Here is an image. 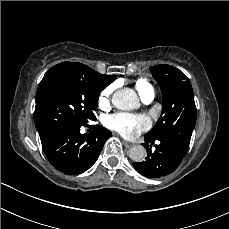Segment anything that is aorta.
<instances>
[{
    "instance_id": "aorta-1",
    "label": "aorta",
    "mask_w": 229,
    "mask_h": 229,
    "mask_svg": "<svg viewBox=\"0 0 229 229\" xmlns=\"http://www.w3.org/2000/svg\"><path fill=\"white\" fill-rule=\"evenodd\" d=\"M112 104L121 110H132L139 106V100L134 90L123 88L113 94ZM129 157L134 162H141L146 157V149L141 145H134L129 150Z\"/></svg>"
}]
</instances>
